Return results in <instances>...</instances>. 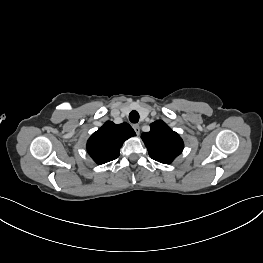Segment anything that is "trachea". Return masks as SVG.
<instances>
[{"label": "trachea", "mask_w": 263, "mask_h": 263, "mask_svg": "<svg viewBox=\"0 0 263 263\" xmlns=\"http://www.w3.org/2000/svg\"><path fill=\"white\" fill-rule=\"evenodd\" d=\"M129 120L132 123H137L139 121V113L135 110L131 111L129 114Z\"/></svg>", "instance_id": "1"}]
</instances>
